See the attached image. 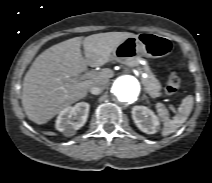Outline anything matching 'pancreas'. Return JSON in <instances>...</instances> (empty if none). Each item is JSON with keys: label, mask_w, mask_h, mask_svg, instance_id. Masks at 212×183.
Masks as SVG:
<instances>
[{"label": "pancreas", "mask_w": 212, "mask_h": 183, "mask_svg": "<svg viewBox=\"0 0 212 183\" xmlns=\"http://www.w3.org/2000/svg\"><path fill=\"white\" fill-rule=\"evenodd\" d=\"M141 60L140 57H135L134 59L126 62V65L128 66H138L139 61ZM144 71L147 73L148 77L147 78H142L141 82L144 86L145 91L152 97H160L161 96V84L160 82L154 77L152 74L151 70L149 69L148 66H145Z\"/></svg>", "instance_id": "pancreas-1"}]
</instances>
